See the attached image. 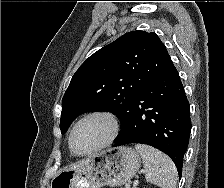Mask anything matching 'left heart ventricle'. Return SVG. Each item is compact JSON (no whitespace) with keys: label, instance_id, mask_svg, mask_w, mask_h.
<instances>
[{"label":"left heart ventricle","instance_id":"1","mask_svg":"<svg viewBox=\"0 0 224 188\" xmlns=\"http://www.w3.org/2000/svg\"><path fill=\"white\" fill-rule=\"evenodd\" d=\"M111 126L102 117H91L77 128L73 144L78 152H87L100 145L110 134Z\"/></svg>","mask_w":224,"mask_h":188}]
</instances>
